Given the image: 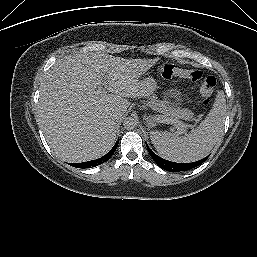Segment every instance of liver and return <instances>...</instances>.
Here are the masks:
<instances>
[{
	"label": "liver",
	"instance_id": "1",
	"mask_svg": "<svg viewBox=\"0 0 257 257\" xmlns=\"http://www.w3.org/2000/svg\"><path fill=\"white\" fill-rule=\"evenodd\" d=\"M157 61L84 53L57 60L41 83L38 104L41 129L55 156L74 163L106 154L117 133L112 115L122 117L128 98L141 95L139 79ZM102 83L110 94H95Z\"/></svg>",
	"mask_w": 257,
	"mask_h": 257
}]
</instances>
